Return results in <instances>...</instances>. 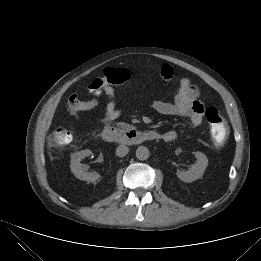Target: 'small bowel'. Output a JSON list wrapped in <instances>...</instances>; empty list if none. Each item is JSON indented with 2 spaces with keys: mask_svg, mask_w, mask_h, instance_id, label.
<instances>
[{
  "mask_svg": "<svg viewBox=\"0 0 261 261\" xmlns=\"http://www.w3.org/2000/svg\"><path fill=\"white\" fill-rule=\"evenodd\" d=\"M160 75L163 83H168L174 77V70L170 65H164L160 69ZM101 92L107 97L102 120L104 122L113 121L122 113V109L117 105L115 88L113 85L106 84ZM98 105L99 99L97 97L82 100L76 94L71 95L67 101V106L72 112L89 111ZM153 108L162 115L187 118L194 126H199L202 123L204 107L199 101V89L188 78L180 80L179 90L173 101L157 100L153 103ZM177 136L176 131L169 130L162 133L160 139L171 142Z\"/></svg>",
  "mask_w": 261,
  "mask_h": 261,
  "instance_id": "1",
  "label": "small bowel"
}]
</instances>
